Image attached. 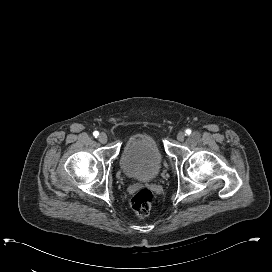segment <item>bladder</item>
Wrapping results in <instances>:
<instances>
[{"label":"bladder","mask_w":272,"mask_h":272,"mask_svg":"<svg viewBox=\"0 0 272 272\" xmlns=\"http://www.w3.org/2000/svg\"><path fill=\"white\" fill-rule=\"evenodd\" d=\"M120 163L127 175L151 180L160 171L163 156L154 138L138 134L125 143L120 154Z\"/></svg>","instance_id":"1"}]
</instances>
